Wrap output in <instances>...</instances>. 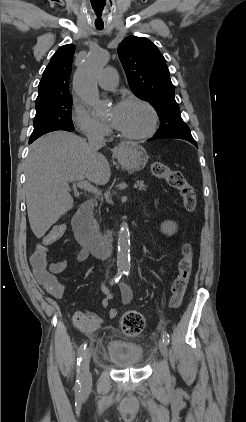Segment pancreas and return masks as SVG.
<instances>
[{
	"mask_svg": "<svg viewBox=\"0 0 246 422\" xmlns=\"http://www.w3.org/2000/svg\"><path fill=\"white\" fill-rule=\"evenodd\" d=\"M139 185H140V190L145 189L147 187L146 185H144L143 181H140Z\"/></svg>",
	"mask_w": 246,
	"mask_h": 422,
	"instance_id": "1",
	"label": "pancreas"
}]
</instances>
